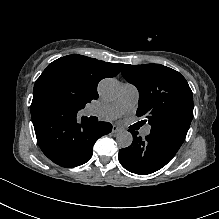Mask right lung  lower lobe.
I'll list each match as a JSON object with an SVG mask.
<instances>
[{
	"mask_svg": "<svg viewBox=\"0 0 219 219\" xmlns=\"http://www.w3.org/2000/svg\"><path fill=\"white\" fill-rule=\"evenodd\" d=\"M37 142L42 152L62 167H75L92 157L93 145L101 136L111 132L108 122L93 123L76 115H32Z\"/></svg>",
	"mask_w": 219,
	"mask_h": 219,
	"instance_id": "98d812e1",
	"label": "right lung lower lobe"
}]
</instances>
